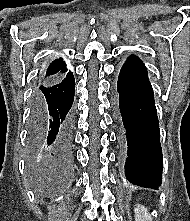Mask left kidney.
<instances>
[{
  "mask_svg": "<svg viewBox=\"0 0 190 221\" xmlns=\"http://www.w3.org/2000/svg\"><path fill=\"white\" fill-rule=\"evenodd\" d=\"M134 212L136 221H152L151 215L143 205L138 204Z\"/></svg>",
  "mask_w": 190,
  "mask_h": 221,
  "instance_id": "left-kidney-1",
  "label": "left kidney"
}]
</instances>
